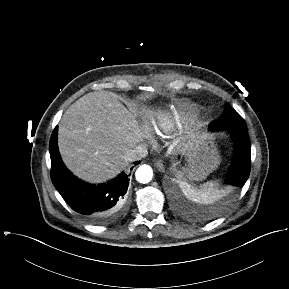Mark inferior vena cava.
Here are the masks:
<instances>
[{"instance_id": "obj_1", "label": "inferior vena cava", "mask_w": 289, "mask_h": 289, "mask_svg": "<svg viewBox=\"0 0 289 289\" xmlns=\"http://www.w3.org/2000/svg\"><path fill=\"white\" fill-rule=\"evenodd\" d=\"M148 155L147 147L145 145H138L125 156V160L129 162L138 161Z\"/></svg>"}]
</instances>
